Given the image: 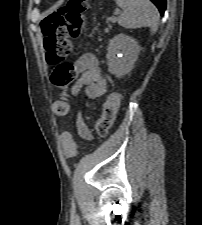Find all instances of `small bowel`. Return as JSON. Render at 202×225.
I'll return each mask as SVG.
<instances>
[{
    "label": "small bowel",
    "instance_id": "c3829d8e",
    "mask_svg": "<svg viewBox=\"0 0 202 225\" xmlns=\"http://www.w3.org/2000/svg\"><path fill=\"white\" fill-rule=\"evenodd\" d=\"M75 69L78 77L72 85V93L77 95L84 88L85 93L91 97L96 98L102 95L106 88V83L100 73L99 62L93 54H85L75 63ZM77 134L84 138H90V131L87 123L82 117H78L75 122ZM70 135L64 132L61 135V142L64 136Z\"/></svg>",
    "mask_w": 202,
    "mask_h": 225
}]
</instances>
